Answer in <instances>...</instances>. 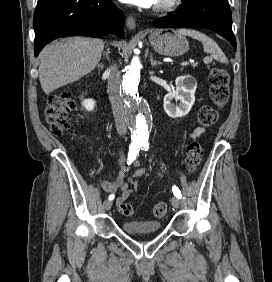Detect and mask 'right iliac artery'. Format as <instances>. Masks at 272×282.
<instances>
[{"instance_id":"1","label":"right iliac artery","mask_w":272,"mask_h":282,"mask_svg":"<svg viewBox=\"0 0 272 282\" xmlns=\"http://www.w3.org/2000/svg\"><path fill=\"white\" fill-rule=\"evenodd\" d=\"M141 148V143L138 141H133L130 145V150L128 153V161L127 164L130 165V163L136 158L137 154L139 153V150ZM114 194H111L109 196V200H113L114 199Z\"/></svg>"}]
</instances>
